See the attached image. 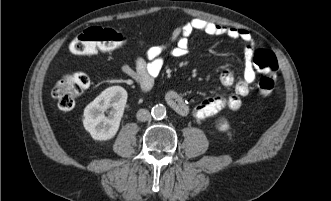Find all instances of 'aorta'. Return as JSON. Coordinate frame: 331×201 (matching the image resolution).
I'll list each match as a JSON object with an SVG mask.
<instances>
[{
    "label": "aorta",
    "mask_w": 331,
    "mask_h": 201,
    "mask_svg": "<svg viewBox=\"0 0 331 201\" xmlns=\"http://www.w3.org/2000/svg\"><path fill=\"white\" fill-rule=\"evenodd\" d=\"M151 114L154 119L162 120L166 117V108L162 104H157L152 108Z\"/></svg>",
    "instance_id": "obj_1"
}]
</instances>
